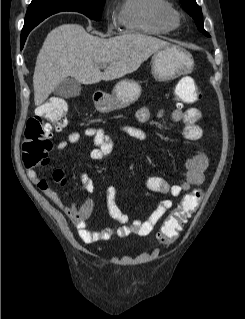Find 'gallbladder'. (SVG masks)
Wrapping results in <instances>:
<instances>
[{
	"instance_id": "gallbladder-1",
	"label": "gallbladder",
	"mask_w": 245,
	"mask_h": 319,
	"mask_svg": "<svg viewBox=\"0 0 245 319\" xmlns=\"http://www.w3.org/2000/svg\"><path fill=\"white\" fill-rule=\"evenodd\" d=\"M82 90L81 83L73 78H65L54 89V94L62 98H74Z\"/></svg>"
}]
</instances>
